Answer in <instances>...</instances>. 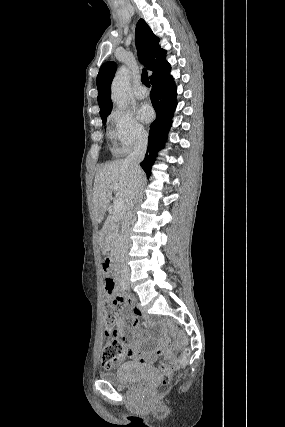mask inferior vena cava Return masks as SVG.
I'll return each mask as SVG.
<instances>
[{
	"mask_svg": "<svg viewBox=\"0 0 285 427\" xmlns=\"http://www.w3.org/2000/svg\"><path fill=\"white\" fill-rule=\"evenodd\" d=\"M147 144H148L147 135L141 134L140 136H138L136 140L134 151L130 153L126 158V162L129 164L131 171L134 174V187L132 190L130 201L126 208L127 211H129L133 207V203L138 198V195L140 192V187H141L142 178H143L140 162L144 159L145 153L147 151ZM131 222H132L131 215L126 214L124 218V229H123V235H122V255H123L122 270L126 274L129 273V267L127 262L125 261V256L129 248V228H130Z\"/></svg>",
	"mask_w": 285,
	"mask_h": 427,
	"instance_id": "inferior-vena-cava-1",
	"label": "inferior vena cava"
}]
</instances>
